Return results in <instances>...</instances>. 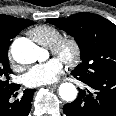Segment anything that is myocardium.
Wrapping results in <instances>:
<instances>
[{"label": "myocardium", "mask_w": 116, "mask_h": 116, "mask_svg": "<svg viewBox=\"0 0 116 116\" xmlns=\"http://www.w3.org/2000/svg\"><path fill=\"white\" fill-rule=\"evenodd\" d=\"M51 51L61 57L68 64H76L81 58V47L72 37H62L51 47Z\"/></svg>", "instance_id": "1"}]
</instances>
